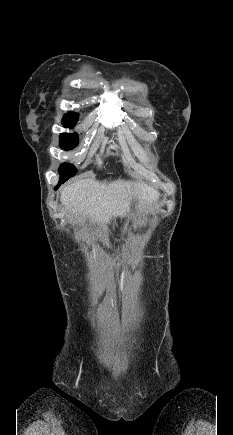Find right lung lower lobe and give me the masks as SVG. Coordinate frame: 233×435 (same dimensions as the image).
I'll return each mask as SVG.
<instances>
[{
  "label": "right lung lower lobe",
  "mask_w": 233,
  "mask_h": 435,
  "mask_svg": "<svg viewBox=\"0 0 233 435\" xmlns=\"http://www.w3.org/2000/svg\"><path fill=\"white\" fill-rule=\"evenodd\" d=\"M60 184H61V183H59V184L56 186V189L60 186Z\"/></svg>",
  "instance_id": "98d812e1"
}]
</instances>
